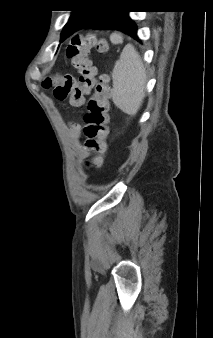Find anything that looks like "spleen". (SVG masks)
Wrapping results in <instances>:
<instances>
[{"mask_svg": "<svg viewBox=\"0 0 213 338\" xmlns=\"http://www.w3.org/2000/svg\"><path fill=\"white\" fill-rule=\"evenodd\" d=\"M111 76L114 104L124 113L135 115L145 97L146 71L132 44H127L122 50Z\"/></svg>", "mask_w": 213, "mask_h": 338, "instance_id": "obj_1", "label": "spleen"}]
</instances>
